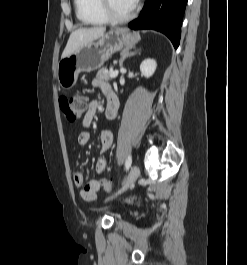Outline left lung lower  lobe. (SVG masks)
<instances>
[{
  "label": "left lung lower lobe",
  "instance_id": "obj_1",
  "mask_svg": "<svg viewBox=\"0 0 247 265\" xmlns=\"http://www.w3.org/2000/svg\"><path fill=\"white\" fill-rule=\"evenodd\" d=\"M188 0H146L140 16L129 23L132 29H154L164 33L177 48L182 18Z\"/></svg>",
  "mask_w": 247,
  "mask_h": 265
}]
</instances>
